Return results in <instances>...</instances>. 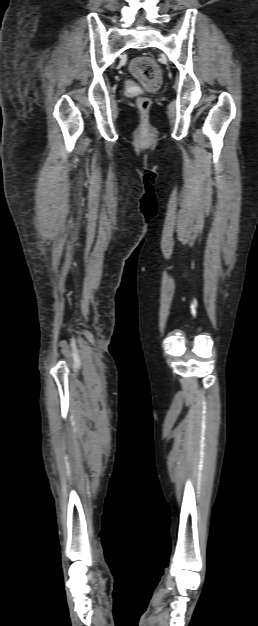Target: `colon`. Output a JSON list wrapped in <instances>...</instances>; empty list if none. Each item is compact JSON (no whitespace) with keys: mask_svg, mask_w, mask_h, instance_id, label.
Returning a JSON list of instances; mask_svg holds the SVG:
<instances>
[{"mask_svg":"<svg viewBox=\"0 0 258 626\" xmlns=\"http://www.w3.org/2000/svg\"><path fill=\"white\" fill-rule=\"evenodd\" d=\"M132 75L145 87L146 90L155 91L161 83L162 73L156 62L148 56L136 57L130 65ZM137 105L144 116L141 128L147 129L146 115L151 107V100L142 96L138 98Z\"/></svg>","mask_w":258,"mask_h":626,"instance_id":"colon-1","label":"colon"}]
</instances>
